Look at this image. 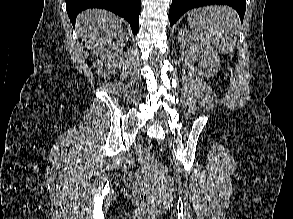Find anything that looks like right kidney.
<instances>
[{
    "mask_svg": "<svg viewBox=\"0 0 293 219\" xmlns=\"http://www.w3.org/2000/svg\"><path fill=\"white\" fill-rule=\"evenodd\" d=\"M121 66V57L116 53L101 56L93 63L99 76L109 77L116 74L118 68Z\"/></svg>",
    "mask_w": 293,
    "mask_h": 219,
    "instance_id": "1",
    "label": "right kidney"
}]
</instances>
